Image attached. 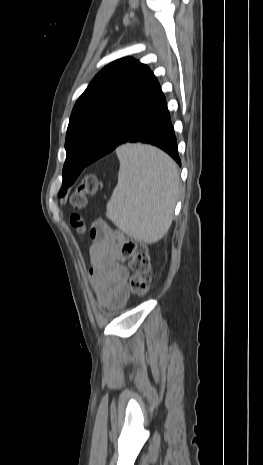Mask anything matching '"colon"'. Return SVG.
I'll list each match as a JSON object with an SVG mask.
<instances>
[{"label": "colon", "instance_id": "5ec220e1", "mask_svg": "<svg viewBox=\"0 0 263 465\" xmlns=\"http://www.w3.org/2000/svg\"><path fill=\"white\" fill-rule=\"evenodd\" d=\"M101 181L96 174L90 173L83 177L80 184L70 197V204L76 210L83 209L88 197L98 192ZM71 224L79 232L86 230V225L78 213L71 216ZM106 228L103 223H97L91 227V231L96 227ZM115 238L120 244L121 255L128 258L132 271L129 286L131 293L136 297H143L148 291L150 259L147 247L140 241L126 238L120 233H115Z\"/></svg>", "mask_w": 263, "mask_h": 465}]
</instances>
